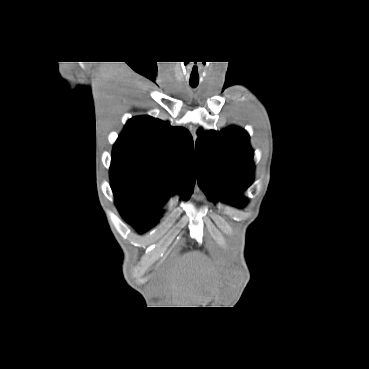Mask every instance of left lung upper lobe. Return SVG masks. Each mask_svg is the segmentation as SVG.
I'll use <instances>...</instances> for the list:
<instances>
[{
    "label": "left lung upper lobe",
    "instance_id": "5c2ea615",
    "mask_svg": "<svg viewBox=\"0 0 369 369\" xmlns=\"http://www.w3.org/2000/svg\"><path fill=\"white\" fill-rule=\"evenodd\" d=\"M198 133L195 170L199 186L210 200L244 206L247 200L241 194L254 178L248 133L238 127Z\"/></svg>",
    "mask_w": 369,
    "mask_h": 369
}]
</instances>
